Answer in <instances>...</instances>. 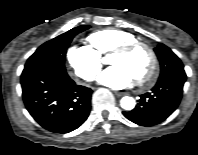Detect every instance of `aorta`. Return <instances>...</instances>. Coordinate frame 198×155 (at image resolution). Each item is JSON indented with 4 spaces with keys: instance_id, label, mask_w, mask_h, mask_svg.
I'll list each match as a JSON object with an SVG mask.
<instances>
[{
    "instance_id": "1",
    "label": "aorta",
    "mask_w": 198,
    "mask_h": 155,
    "mask_svg": "<svg viewBox=\"0 0 198 155\" xmlns=\"http://www.w3.org/2000/svg\"><path fill=\"white\" fill-rule=\"evenodd\" d=\"M135 99L133 97L125 96L120 101V106L127 111L132 110L135 107Z\"/></svg>"
}]
</instances>
